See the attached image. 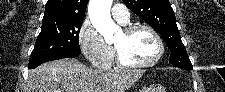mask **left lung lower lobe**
I'll return each instance as SVG.
<instances>
[{
	"label": "left lung lower lobe",
	"instance_id": "obj_1",
	"mask_svg": "<svg viewBox=\"0 0 225 92\" xmlns=\"http://www.w3.org/2000/svg\"><path fill=\"white\" fill-rule=\"evenodd\" d=\"M179 68H181V69H184V70H190V69H192V67H179Z\"/></svg>",
	"mask_w": 225,
	"mask_h": 92
}]
</instances>
